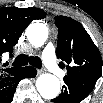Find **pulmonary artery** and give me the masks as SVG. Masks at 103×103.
Wrapping results in <instances>:
<instances>
[{"mask_svg": "<svg viewBox=\"0 0 103 103\" xmlns=\"http://www.w3.org/2000/svg\"><path fill=\"white\" fill-rule=\"evenodd\" d=\"M44 63L46 67L55 75L63 76L65 72L59 68L55 58V49L51 42H49L42 53Z\"/></svg>", "mask_w": 103, "mask_h": 103, "instance_id": "1", "label": "pulmonary artery"}]
</instances>
